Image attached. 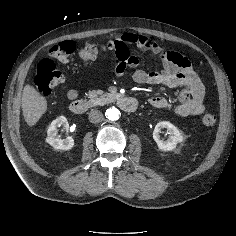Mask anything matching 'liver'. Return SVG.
Returning <instances> with one entry per match:
<instances>
[{
  "label": "liver",
  "instance_id": "liver-1",
  "mask_svg": "<svg viewBox=\"0 0 236 236\" xmlns=\"http://www.w3.org/2000/svg\"><path fill=\"white\" fill-rule=\"evenodd\" d=\"M22 111L28 126H34L47 111V101L37 90L27 84L22 94Z\"/></svg>",
  "mask_w": 236,
  "mask_h": 236
}]
</instances>
